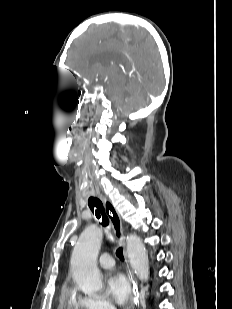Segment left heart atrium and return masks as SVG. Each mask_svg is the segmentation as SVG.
<instances>
[{
    "label": "left heart atrium",
    "instance_id": "1",
    "mask_svg": "<svg viewBox=\"0 0 232 309\" xmlns=\"http://www.w3.org/2000/svg\"><path fill=\"white\" fill-rule=\"evenodd\" d=\"M107 287L112 299L121 306L133 298L131 282L121 271H114L108 276Z\"/></svg>",
    "mask_w": 232,
    "mask_h": 309
}]
</instances>
